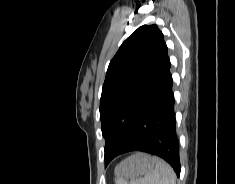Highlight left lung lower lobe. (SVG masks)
Masks as SVG:
<instances>
[{"label": "left lung lower lobe", "mask_w": 235, "mask_h": 184, "mask_svg": "<svg viewBox=\"0 0 235 184\" xmlns=\"http://www.w3.org/2000/svg\"><path fill=\"white\" fill-rule=\"evenodd\" d=\"M170 67L166 48L150 94L141 107L132 132L118 155L131 151L157 155L167 161L179 177L181 171L179 141L176 135Z\"/></svg>", "instance_id": "obj_1"}]
</instances>
